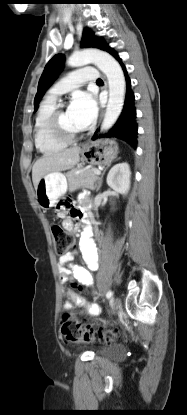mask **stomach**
Returning a JSON list of instances; mask_svg holds the SVG:
<instances>
[{"label": "stomach", "instance_id": "obj_1", "mask_svg": "<svg viewBox=\"0 0 187 415\" xmlns=\"http://www.w3.org/2000/svg\"><path fill=\"white\" fill-rule=\"evenodd\" d=\"M81 154L90 164L110 165L118 154V144L112 139L91 142L83 147ZM66 191V176L61 172L49 173L41 178L36 187L37 203L43 210H48Z\"/></svg>", "mask_w": 187, "mask_h": 415}]
</instances>
